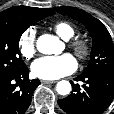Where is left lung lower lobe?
Masks as SVG:
<instances>
[{
  "label": "left lung lower lobe",
  "instance_id": "obj_1",
  "mask_svg": "<svg viewBox=\"0 0 114 114\" xmlns=\"http://www.w3.org/2000/svg\"><path fill=\"white\" fill-rule=\"evenodd\" d=\"M73 92L58 104L67 114H101L114 99V72L80 74Z\"/></svg>",
  "mask_w": 114,
  "mask_h": 114
}]
</instances>
